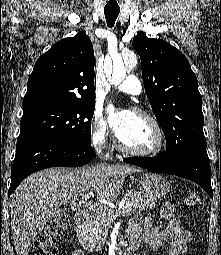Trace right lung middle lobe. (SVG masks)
<instances>
[{
    "instance_id": "dd1d6c3e",
    "label": "right lung middle lobe",
    "mask_w": 221,
    "mask_h": 255,
    "mask_svg": "<svg viewBox=\"0 0 221 255\" xmlns=\"http://www.w3.org/2000/svg\"><path fill=\"white\" fill-rule=\"evenodd\" d=\"M95 103L46 105L23 111L20 135H35L70 144L91 145Z\"/></svg>"
}]
</instances>
